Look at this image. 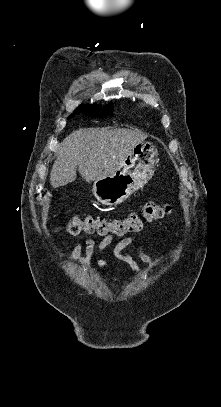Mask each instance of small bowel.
<instances>
[{"instance_id": "obj_1", "label": "small bowel", "mask_w": 221, "mask_h": 407, "mask_svg": "<svg viewBox=\"0 0 221 407\" xmlns=\"http://www.w3.org/2000/svg\"><path fill=\"white\" fill-rule=\"evenodd\" d=\"M157 230L160 234L165 235L167 230L161 222L156 223ZM114 241L112 236L105 237L98 245L93 239H86L82 244L78 243L72 249L68 261L78 260L82 272L90 274V259L92 256L96 255L97 261L101 267L108 270V265L102 258L103 252L109 247ZM134 242V237L129 236L122 241H120L113 249V254L124 261H126L131 268L138 272V267L135 261L127 255H124L122 251L130 244ZM139 258L149 269H154L155 264L151 254L143 247L138 249Z\"/></svg>"}]
</instances>
